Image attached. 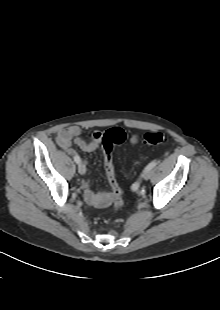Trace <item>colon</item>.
Returning a JSON list of instances; mask_svg holds the SVG:
<instances>
[{"label": "colon", "instance_id": "obj_1", "mask_svg": "<svg viewBox=\"0 0 220 310\" xmlns=\"http://www.w3.org/2000/svg\"><path fill=\"white\" fill-rule=\"evenodd\" d=\"M126 140L123 129L113 127L104 132L101 137V145L105 152L106 171L112 189V196L109 197L107 204L118 209L123 205L122 191L116 178L113 148L122 144ZM167 141V136L161 132H148L143 137V142L151 146H159Z\"/></svg>", "mask_w": 220, "mask_h": 310}]
</instances>
